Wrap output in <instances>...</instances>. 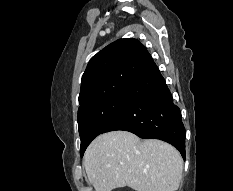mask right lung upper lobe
I'll list each match as a JSON object with an SVG mask.
<instances>
[{
    "label": "right lung upper lobe",
    "mask_w": 233,
    "mask_h": 191,
    "mask_svg": "<svg viewBox=\"0 0 233 191\" xmlns=\"http://www.w3.org/2000/svg\"><path fill=\"white\" fill-rule=\"evenodd\" d=\"M151 59L137 39H119L106 46L89 61L82 76L79 109L128 91Z\"/></svg>",
    "instance_id": "obj_1"
}]
</instances>
